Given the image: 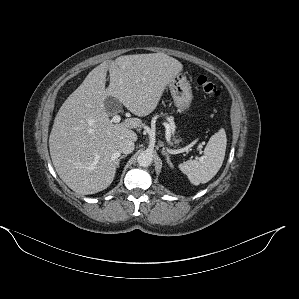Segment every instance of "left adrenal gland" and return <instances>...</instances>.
<instances>
[{"label": "left adrenal gland", "instance_id": "a2214340", "mask_svg": "<svg viewBox=\"0 0 299 299\" xmlns=\"http://www.w3.org/2000/svg\"><path fill=\"white\" fill-rule=\"evenodd\" d=\"M162 153L166 156V160H167L168 165H169L171 168H173V164H172V162H171V160H170V155L164 150V148H163Z\"/></svg>", "mask_w": 299, "mask_h": 299}]
</instances>
